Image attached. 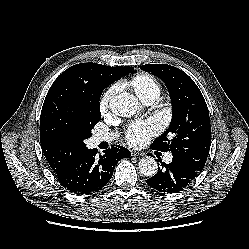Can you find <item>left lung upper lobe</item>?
<instances>
[{
  "label": "left lung upper lobe",
  "mask_w": 249,
  "mask_h": 249,
  "mask_svg": "<svg viewBox=\"0 0 249 249\" xmlns=\"http://www.w3.org/2000/svg\"><path fill=\"white\" fill-rule=\"evenodd\" d=\"M141 69L164 81L172 102L171 124L151 147L171 151L173 157L201 172L211 146L209 111L201 91L185 72L174 66L147 64Z\"/></svg>",
  "instance_id": "5c2ea615"
}]
</instances>
